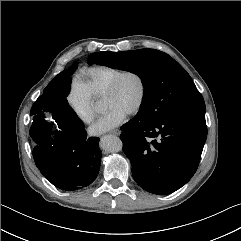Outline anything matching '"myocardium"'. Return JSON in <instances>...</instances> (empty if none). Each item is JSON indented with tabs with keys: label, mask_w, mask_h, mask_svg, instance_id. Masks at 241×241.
<instances>
[{
	"label": "myocardium",
	"mask_w": 241,
	"mask_h": 241,
	"mask_svg": "<svg viewBox=\"0 0 241 241\" xmlns=\"http://www.w3.org/2000/svg\"><path fill=\"white\" fill-rule=\"evenodd\" d=\"M127 75H134L140 84V94L135 106L127 113L128 115H135L137 114L143 107L147 95V84L144 76L137 70L129 69L123 70L118 75H116L112 81L107 86L103 97L110 96L115 93L116 89L118 88L119 83L121 80Z\"/></svg>",
	"instance_id": "obj_1"
}]
</instances>
